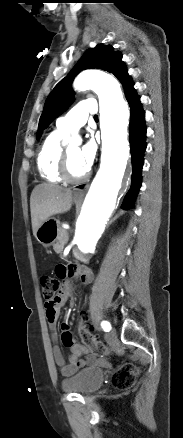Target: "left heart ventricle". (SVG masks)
Here are the masks:
<instances>
[{"label": "left heart ventricle", "instance_id": "1", "mask_svg": "<svg viewBox=\"0 0 183 438\" xmlns=\"http://www.w3.org/2000/svg\"><path fill=\"white\" fill-rule=\"evenodd\" d=\"M69 160V173L72 177L78 178L87 172V168L82 163L80 157V148L72 146L67 149Z\"/></svg>", "mask_w": 183, "mask_h": 438}]
</instances>
